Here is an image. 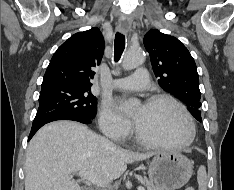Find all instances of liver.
Returning <instances> with one entry per match:
<instances>
[{
    "instance_id": "1",
    "label": "liver",
    "mask_w": 234,
    "mask_h": 190,
    "mask_svg": "<svg viewBox=\"0 0 234 190\" xmlns=\"http://www.w3.org/2000/svg\"><path fill=\"white\" fill-rule=\"evenodd\" d=\"M153 155L117 147L77 122H52L43 126L28 145L25 190H81L71 174L89 170L110 183L126 171L128 163Z\"/></svg>"
}]
</instances>
